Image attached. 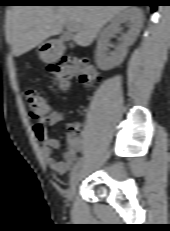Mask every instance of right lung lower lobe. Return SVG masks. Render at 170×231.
<instances>
[{"mask_svg":"<svg viewBox=\"0 0 170 231\" xmlns=\"http://www.w3.org/2000/svg\"><path fill=\"white\" fill-rule=\"evenodd\" d=\"M68 2L63 3H57L56 5H102L97 4V2H90L95 0H66ZM116 1L117 3H124L121 1H134L139 2L138 5H148L152 8V10H155L156 7L159 5L158 0H111Z\"/></svg>","mask_w":170,"mask_h":231,"instance_id":"obj_1","label":"right lung lower lobe"}]
</instances>
